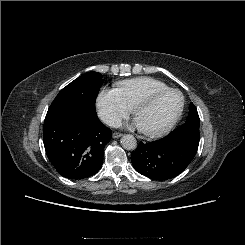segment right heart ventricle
<instances>
[{
  "label": "right heart ventricle",
  "mask_w": 245,
  "mask_h": 245,
  "mask_svg": "<svg viewBox=\"0 0 245 245\" xmlns=\"http://www.w3.org/2000/svg\"><path fill=\"white\" fill-rule=\"evenodd\" d=\"M166 88H169L167 84L152 77L126 79L117 82L115 85V90L130 108L139 98Z\"/></svg>",
  "instance_id": "obj_1"
}]
</instances>
